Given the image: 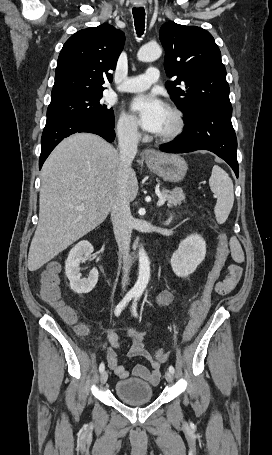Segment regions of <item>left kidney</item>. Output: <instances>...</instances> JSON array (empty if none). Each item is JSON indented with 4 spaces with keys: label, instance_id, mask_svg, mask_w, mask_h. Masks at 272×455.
Segmentation results:
<instances>
[{
    "label": "left kidney",
    "instance_id": "1",
    "mask_svg": "<svg viewBox=\"0 0 272 455\" xmlns=\"http://www.w3.org/2000/svg\"><path fill=\"white\" fill-rule=\"evenodd\" d=\"M206 255V243L199 234H191L181 241L171 257L173 272L178 277H187L202 263Z\"/></svg>",
    "mask_w": 272,
    "mask_h": 455
}]
</instances>
